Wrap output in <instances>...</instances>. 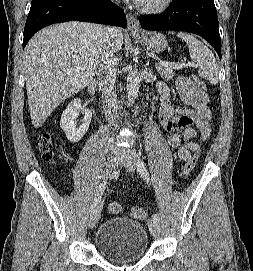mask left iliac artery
Wrapping results in <instances>:
<instances>
[{
	"instance_id": "44dca946",
	"label": "left iliac artery",
	"mask_w": 253,
	"mask_h": 271,
	"mask_svg": "<svg viewBox=\"0 0 253 271\" xmlns=\"http://www.w3.org/2000/svg\"><path fill=\"white\" fill-rule=\"evenodd\" d=\"M137 170L141 174L142 178L148 183L150 181L149 173L146 169V166L144 164V161L141 157V153H139V160L137 165ZM153 220L157 221L159 223L160 217L158 214L153 215Z\"/></svg>"
}]
</instances>
